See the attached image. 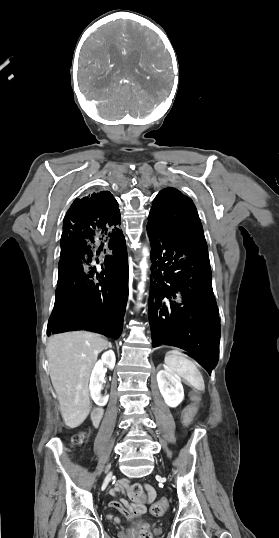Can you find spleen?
<instances>
[{
    "label": "spleen",
    "instance_id": "1",
    "mask_svg": "<svg viewBox=\"0 0 279 538\" xmlns=\"http://www.w3.org/2000/svg\"><path fill=\"white\" fill-rule=\"evenodd\" d=\"M164 362L177 376H182V378H187V383L194 388L193 392L195 394H203L204 389V380L201 378L199 370H197L195 364L188 360L185 354H181L178 348L171 350L165 354Z\"/></svg>",
    "mask_w": 279,
    "mask_h": 538
}]
</instances>
